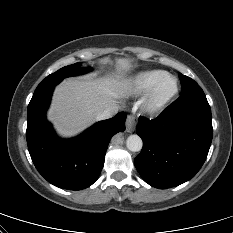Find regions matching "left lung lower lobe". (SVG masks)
Instances as JSON below:
<instances>
[{
	"label": "left lung lower lobe",
	"instance_id": "obj_1",
	"mask_svg": "<svg viewBox=\"0 0 233 233\" xmlns=\"http://www.w3.org/2000/svg\"><path fill=\"white\" fill-rule=\"evenodd\" d=\"M136 133L143 148L134 164L145 182L167 189L190 180L205 162L212 141L205 94L180 96L156 119L139 117Z\"/></svg>",
	"mask_w": 233,
	"mask_h": 233
}]
</instances>
